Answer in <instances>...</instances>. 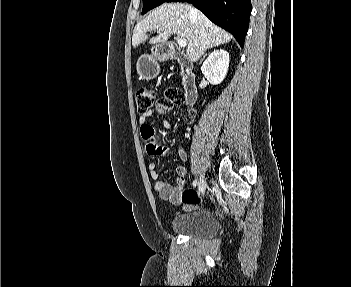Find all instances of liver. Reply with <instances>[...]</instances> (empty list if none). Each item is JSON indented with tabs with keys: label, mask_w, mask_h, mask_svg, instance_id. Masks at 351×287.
<instances>
[{
	"label": "liver",
	"mask_w": 351,
	"mask_h": 287,
	"mask_svg": "<svg viewBox=\"0 0 351 287\" xmlns=\"http://www.w3.org/2000/svg\"><path fill=\"white\" fill-rule=\"evenodd\" d=\"M156 30L158 35L150 38V44L165 43L177 34L187 40L186 54L192 61L198 60L207 49L232 39L231 34L213 24L202 12L184 3H164L138 22L133 31V47L148 40L147 32Z\"/></svg>",
	"instance_id": "liver-1"
}]
</instances>
